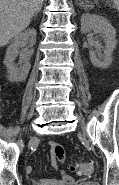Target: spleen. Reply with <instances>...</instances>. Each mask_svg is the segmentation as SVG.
<instances>
[{
	"label": "spleen",
	"instance_id": "1",
	"mask_svg": "<svg viewBox=\"0 0 119 185\" xmlns=\"http://www.w3.org/2000/svg\"><path fill=\"white\" fill-rule=\"evenodd\" d=\"M116 9L119 11V0H113ZM86 7H91L90 5L86 6Z\"/></svg>",
	"mask_w": 119,
	"mask_h": 185
}]
</instances>
